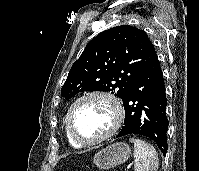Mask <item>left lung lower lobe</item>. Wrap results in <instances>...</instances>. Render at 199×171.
Listing matches in <instances>:
<instances>
[{
    "label": "left lung lower lobe",
    "mask_w": 199,
    "mask_h": 171,
    "mask_svg": "<svg viewBox=\"0 0 199 171\" xmlns=\"http://www.w3.org/2000/svg\"><path fill=\"white\" fill-rule=\"evenodd\" d=\"M124 126L117 137L138 134L151 138L165 155L168 119L165 85L157 55L135 79L123 98Z\"/></svg>",
    "instance_id": "1"
}]
</instances>
